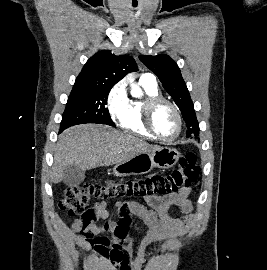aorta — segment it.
I'll return each instance as SVG.
<instances>
[{
  "label": "aorta",
  "instance_id": "obj_1",
  "mask_svg": "<svg viewBox=\"0 0 267 270\" xmlns=\"http://www.w3.org/2000/svg\"><path fill=\"white\" fill-rule=\"evenodd\" d=\"M130 86H131V95L133 97H140V95H141L140 88L137 85L133 84V83H131Z\"/></svg>",
  "mask_w": 267,
  "mask_h": 270
}]
</instances>
